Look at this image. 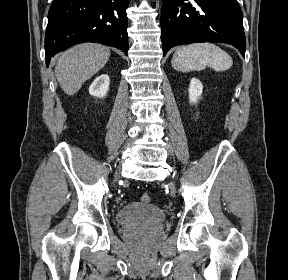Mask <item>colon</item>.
<instances>
[{
    "instance_id": "colon-1",
    "label": "colon",
    "mask_w": 288,
    "mask_h": 280,
    "mask_svg": "<svg viewBox=\"0 0 288 280\" xmlns=\"http://www.w3.org/2000/svg\"><path fill=\"white\" fill-rule=\"evenodd\" d=\"M141 200H142V202H144V203H149V202H151L152 197H151L150 194L145 193V194L142 195Z\"/></svg>"
}]
</instances>
